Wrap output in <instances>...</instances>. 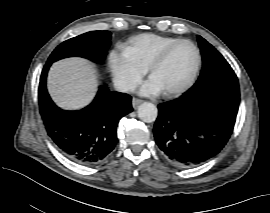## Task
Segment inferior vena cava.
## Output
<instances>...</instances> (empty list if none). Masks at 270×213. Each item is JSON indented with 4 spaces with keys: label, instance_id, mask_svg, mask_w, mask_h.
<instances>
[{
    "label": "inferior vena cava",
    "instance_id": "1",
    "mask_svg": "<svg viewBox=\"0 0 270 213\" xmlns=\"http://www.w3.org/2000/svg\"><path fill=\"white\" fill-rule=\"evenodd\" d=\"M114 87L119 92L133 91L136 88V84L131 81L116 79L114 80Z\"/></svg>",
    "mask_w": 270,
    "mask_h": 213
}]
</instances>
